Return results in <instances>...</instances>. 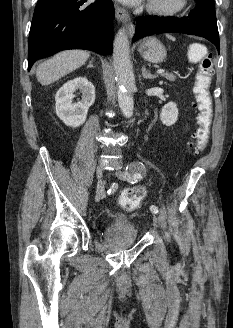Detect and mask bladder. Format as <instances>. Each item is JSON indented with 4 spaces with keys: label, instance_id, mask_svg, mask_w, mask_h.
I'll list each match as a JSON object with an SVG mask.
<instances>
[{
    "label": "bladder",
    "instance_id": "bladder-1",
    "mask_svg": "<svg viewBox=\"0 0 233 328\" xmlns=\"http://www.w3.org/2000/svg\"><path fill=\"white\" fill-rule=\"evenodd\" d=\"M114 226L116 228L121 229L128 235H130L132 241L136 240V236H137L136 229L133 226L132 221L126 215L123 214L116 215L114 218Z\"/></svg>",
    "mask_w": 233,
    "mask_h": 328
}]
</instances>
